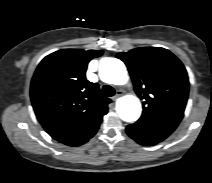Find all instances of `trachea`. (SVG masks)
I'll use <instances>...</instances> for the list:
<instances>
[{
  "instance_id": "trachea-1",
  "label": "trachea",
  "mask_w": 212,
  "mask_h": 183,
  "mask_svg": "<svg viewBox=\"0 0 212 183\" xmlns=\"http://www.w3.org/2000/svg\"><path fill=\"white\" fill-rule=\"evenodd\" d=\"M102 90L104 94L108 97H111L115 94V89L110 85H104Z\"/></svg>"
}]
</instances>
